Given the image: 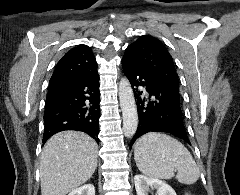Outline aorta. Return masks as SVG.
<instances>
[{"instance_id": "obj_1", "label": "aorta", "mask_w": 240, "mask_h": 195, "mask_svg": "<svg viewBox=\"0 0 240 195\" xmlns=\"http://www.w3.org/2000/svg\"><path fill=\"white\" fill-rule=\"evenodd\" d=\"M119 99L123 115L124 135H126V137H132L137 129L138 113L134 94L127 78L120 80Z\"/></svg>"}]
</instances>
